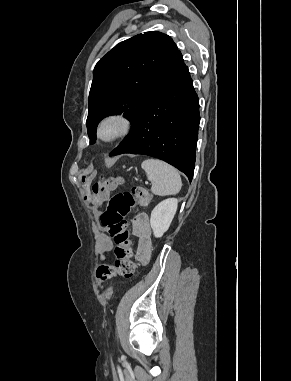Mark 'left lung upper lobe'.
I'll use <instances>...</instances> for the list:
<instances>
[{"label":"left lung upper lobe","mask_w":291,"mask_h":381,"mask_svg":"<svg viewBox=\"0 0 291 381\" xmlns=\"http://www.w3.org/2000/svg\"><path fill=\"white\" fill-rule=\"evenodd\" d=\"M183 64L172 38L160 32H145L117 44L93 71L86 121L90 143L96 140L98 123L108 115L123 113L133 125Z\"/></svg>","instance_id":"5c2ea615"}]
</instances>
